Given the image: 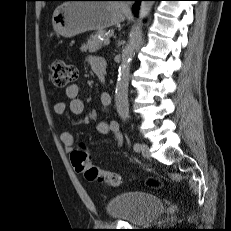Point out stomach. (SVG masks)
<instances>
[{
    "instance_id": "0dacf381",
    "label": "stomach",
    "mask_w": 231,
    "mask_h": 231,
    "mask_svg": "<svg viewBox=\"0 0 231 231\" xmlns=\"http://www.w3.org/2000/svg\"><path fill=\"white\" fill-rule=\"evenodd\" d=\"M125 19L120 2L74 0L58 6L52 17L54 30L70 38L87 31H103Z\"/></svg>"
}]
</instances>
